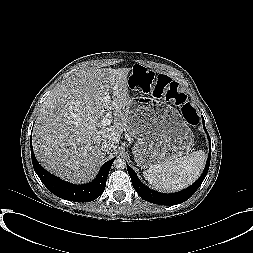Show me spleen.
<instances>
[{"label":"spleen","instance_id":"3e777b00","mask_svg":"<svg viewBox=\"0 0 253 253\" xmlns=\"http://www.w3.org/2000/svg\"><path fill=\"white\" fill-rule=\"evenodd\" d=\"M205 162L206 154L199 150L150 166L143 171V176L156 190L178 191L186 188L199 177Z\"/></svg>","mask_w":253,"mask_h":253}]
</instances>
